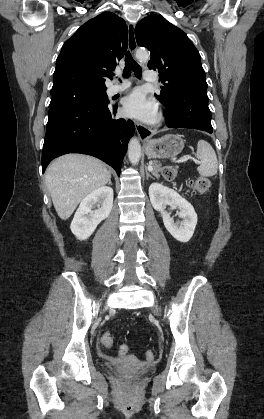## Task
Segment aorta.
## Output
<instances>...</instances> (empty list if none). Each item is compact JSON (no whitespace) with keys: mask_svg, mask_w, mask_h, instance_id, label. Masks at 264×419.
<instances>
[{"mask_svg":"<svg viewBox=\"0 0 264 419\" xmlns=\"http://www.w3.org/2000/svg\"><path fill=\"white\" fill-rule=\"evenodd\" d=\"M136 58L139 61H147L149 59V53L147 50L138 49L136 52ZM128 158L133 165L138 164L141 158V145L136 137L131 138L129 142Z\"/></svg>","mask_w":264,"mask_h":419,"instance_id":"obj_1","label":"aorta"}]
</instances>
